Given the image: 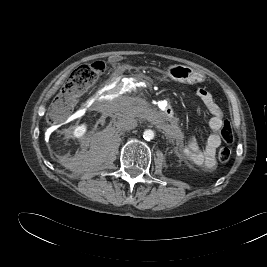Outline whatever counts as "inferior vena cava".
<instances>
[{"label": "inferior vena cava", "instance_id": "602c4592", "mask_svg": "<svg viewBox=\"0 0 267 267\" xmlns=\"http://www.w3.org/2000/svg\"><path fill=\"white\" fill-rule=\"evenodd\" d=\"M116 126L122 130H132L137 126V121L133 117L123 116L116 122Z\"/></svg>", "mask_w": 267, "mask_h": 267}]
</instances>
